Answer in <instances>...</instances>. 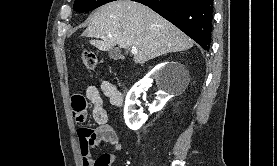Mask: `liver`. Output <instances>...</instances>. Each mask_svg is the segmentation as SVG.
<instances>
[{
	"label": "liver",
	"mask_w": 277,
	"mask_h": 166,
	"mask_svg": "<svg viewBox=\"0 0 277 166\" xmlns=\"http://www.w3.org/2000/svg\"><path fill=\"white\" fill-rule=\"evenodd\" d=\"M90 44L101 51H110L115 45L134 47V62L144 64L167 53L185 51L194 43L172 23L149 7L131 0H116L99 7L84 31Z\"/></svg>",
	"instance_id": "liver-1"
}]
</instances>
